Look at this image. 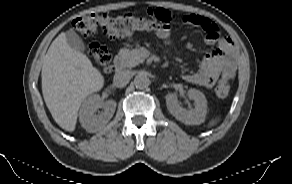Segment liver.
<instances>
[{
    "mask_svg": "<svg viewBox=\"0 0 292 184\" xmlns=\"http://www.w3.org/2000/svg\"><path fill=\"white\" fill-rule=\"evenodd\" d=\"M42 93L53 119L64 130H75L84 99L101 90L104 77L83 53L71 48L65 33L51 43L42 65Z\"/></svg>",
    "mask_w": 292,
    "mask_h": 184,
    "instance_id": "1",
    "label": "liver"
}]
</instances>
